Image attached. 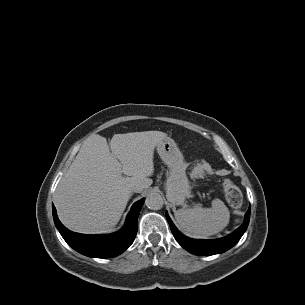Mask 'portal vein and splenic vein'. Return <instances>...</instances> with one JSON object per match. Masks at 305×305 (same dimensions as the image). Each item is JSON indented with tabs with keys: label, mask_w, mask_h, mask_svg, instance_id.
Returning <instances> with one entry per match:
<instances>
[{
	"label": "portal vein and splenic vein",
	"mask_w": 305,
	"mask_h": 305,
	"mask_svg": "<svg viewBox=\"0 0 305 305\" xmlns=\"http://www.w3.org/2000/svg\"><path fill=\"white\" fill-rule=\"evenodd\" d=\"M115 165L117 166V169H118V172L121 174V172H122V170H121V164L117 161V160H115Z\"/></svg>",
	"instance_id": "portal-vein-and-splenic-vein-1"
}]
</instances>
